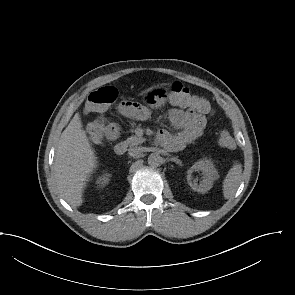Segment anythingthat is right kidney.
Listing matches in <instances>:
<instances>
[{"mask_svg":"<svg viewBox=\"0 0 295 295\" xmlns=\"http://www.w3.org/2000/svg\"><path fill=\"white\" fill-rule=\"evenodd\" d=\"M109 180V174H104L97 179L96 183L98 186L104 187L109 183Z\"/></svg>","mask_w":295,"mask_h":295,"instance_id":"right-kidney-1","label":"right kidney"}]
</instances>
